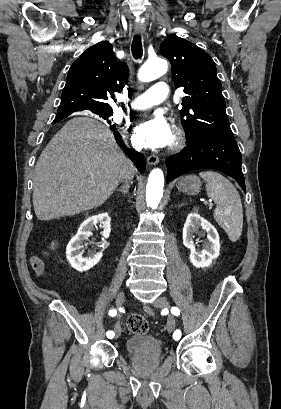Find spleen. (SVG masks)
Segmentation results:
<instances>
[{
    "instance_id": "1",
    "label": "spleen",
    "mask_w": 281,
    "mask_h": 409,
    "mask_svg": "<svg viewBox=\"0 0 281 409\" xmlns=\"http://www.w3.org/2000/svg\"><path fill=\"white\" fill-rule=\"evenodd\" d=\"M199 174L206 182L208 196L216 202L217 209L214 211L216 223L224 229L230 241L236 243L243 229V209L238 190L220 172L203 170ZM217 210H220V213H217Z\"/></svg>"
}]
</instances>
